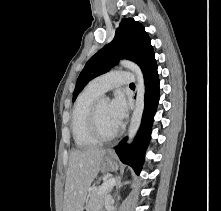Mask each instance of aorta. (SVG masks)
Here are the masks:
<instances>
[{
  "mask_svg": "<svg viewBox=\"0 0 221 211\" xmlns=\"http://www.w3.org/2000/svg\"><path fill=\"white\" fill-rule=\"evenodd\" d=\"M120 65L132 71L135 74L136 79H137V84H136L137 93H136L135 109L133 111L129 130H128V143H131L139 129L143 111H144L145 82H144L142 70L137 64L131 61H127V60H121Z\"/></svg>",
  "mask_w": 221,
  "mask_h": 211,
  "instance_id": "762f6f07",
  "label": "aorta"
}]
</instances>
